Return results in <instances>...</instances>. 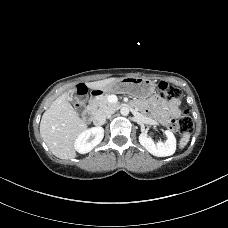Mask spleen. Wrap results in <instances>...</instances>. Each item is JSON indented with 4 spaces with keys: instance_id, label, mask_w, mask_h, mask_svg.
<instances>
[{
    "instance_id": "1",
    "label": "spleen",
    "mask_w": 228,
    "mask_h": 228,
    "mask_svg": "<svg viewBox=\"0 0 228 228\" xmlns=\"http://www.w3.org/2000/svg\"><path fill=\"white\" fill-rule=\"evenodd\" d=\"M190 140V133L189 132H184L181 139H180V143H179V147L182 149L184 148L187 143Z\"/></svg>"
}]
</instances>
